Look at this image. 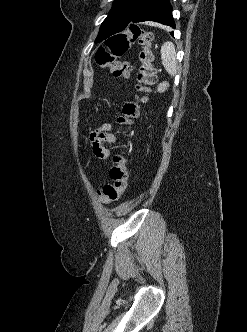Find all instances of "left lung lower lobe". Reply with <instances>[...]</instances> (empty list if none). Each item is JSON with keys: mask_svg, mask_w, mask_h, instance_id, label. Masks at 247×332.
<instances>
[{"mask_svg": "<svg viewBox=\"0 0 247 332\" xmlns=\"http://www.w3.org/2000/svg\"><path fill=\"white\" fill-rule=\"evenodd\" d=\"M145 21H154L175 28L169 0H148L125 24L124 30Z\"/></svg>", "mask_w": 247, "mask_h": 332, "instance_id": "left-lung-lower-lobe-1", "label": "left lung lower lobe"}]
</instances>
